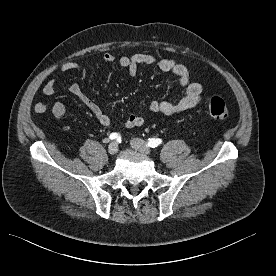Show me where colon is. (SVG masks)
Here are the masks:
<instances>
[{
  "label": "colon",
  "instance_id": "5ec220e1",
  "mask_svg": "<svg viewBox=\"0 0 276 276\" xmlns=\"http://www.w3.org/2000/svg\"><path fill=\"white\" fill-rule=\"evenodd\" d=\"M209 113L213 118L225 120L229 116V110L225 100L215 96L211 98L208 105Z\"/></svg>",
  "mask_w": 276,
  "mask_h": 276
}]
</instances>
